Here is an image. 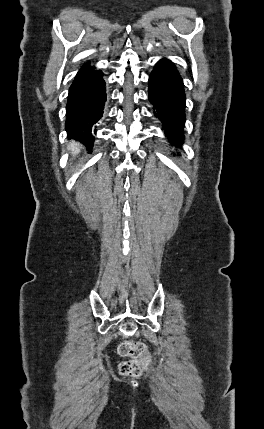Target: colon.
Segmentation results:
<instances>
[{
	"instance_id": "obj_1",
	"label": "colon",
	"mask_w": 264,
	"mask_h": 429,
	"mask_svg": "<svg viewBox=\"0 0 264 429\" xmlns=\"http://www.w3.org/2000/svg\"><path fill=\"white\" fill-rule=\"evenodd\" d=\"M118 351L120 355L130 357L129 361L119 366V372L123 376H138L149 363L148 349L143 343L126 341L119 346Z\"/></svg>"
}]
</instances>
